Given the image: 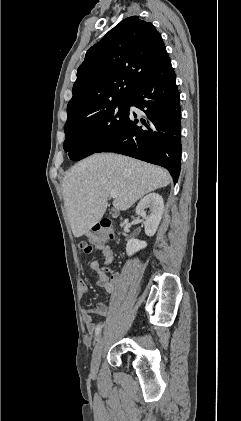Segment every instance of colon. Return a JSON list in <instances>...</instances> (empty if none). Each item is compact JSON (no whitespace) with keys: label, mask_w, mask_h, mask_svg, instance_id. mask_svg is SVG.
<instances>
[{"label":"colon","mask_w":241,"mask_h":421,"mask_svg":"<svg viewBox=\"0 0 241 421\" xmlns=\"http://www.w3.org/2000/svg\"><path fill=\"white\" fill-rule=\"evenodd\" d=\"M115 235V228L111 221L103 220L97 223L93 229L92 234L89 236V242L83 241L79 244V248L85 254H90L94 248L101 245L113 238Z\"/></svg>","instance_id":"obj_1"}]
</instances>
